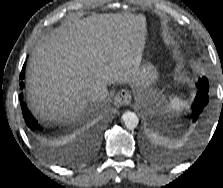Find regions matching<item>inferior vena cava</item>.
<instances>
[{"mask_svg":"<svg viewBox=\"0 0 223 188\" xmlns=\"http://www.w3.org/2000/svg\"><path fill=\"white\" fill-rule=\"evenodd\" d=\"M86 96L89 101L100 102L108 96L107 84L102 82H96L88 91Z\"/></svg>","mask_w":223,"mask_h":188,"instance_id":"inferior-vena-cava-1","label":"inferior vena cava"}]
</instances>
